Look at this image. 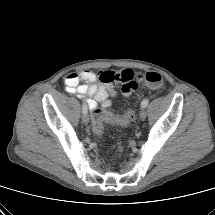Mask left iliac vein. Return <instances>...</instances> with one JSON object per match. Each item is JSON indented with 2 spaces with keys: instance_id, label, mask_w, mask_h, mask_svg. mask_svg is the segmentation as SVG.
I'll use <instances>...</instances> for the list:
<instances>
[{
  "instance_id": "left-iliac-vein-1",
  "label": "left iliac vein",
  "mask_w": 215,
  "mask_h": 215,
  "mask_svg": "<svg viewBox=\"0 0 215 215\" xmlns=\"http://www.w3.org/2000/svg\"><path fill=\"white\" fill-rule=\"evenodd\" d=\"M146 117H147V112H146V110L144 108H142L141 111H140V119L142 121H144L146 119Z\"/></svg>"
}]
</instances>
